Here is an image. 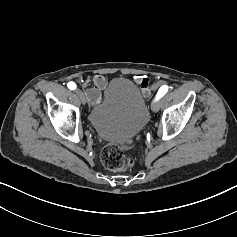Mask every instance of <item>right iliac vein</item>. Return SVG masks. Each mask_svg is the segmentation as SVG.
Here are the masks:
<instances>
[{
	"label": "right iliac vein",
	"instance_id": "right-iliac-vein-1",
	"mask_svg": "<svg viewBox=\"0 0 237 237\" xmlns=\"http://www.w3.org/2000/svg\"><path fill=\"white\" fill-rule=\"evenodd\" d=\"M75 93H76V94L78 95V97L80 98L82 104L85 105V104H86V98H85L83 92H82L80 89H76V90H75Z\"/></svg>",
	"mask_w": 237,
	"mask_h": 237
}]
</instances>
